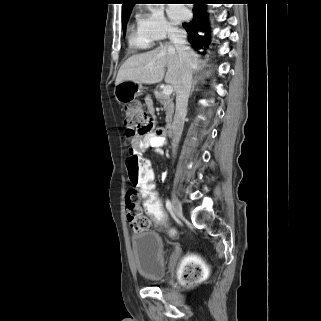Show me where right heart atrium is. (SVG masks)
Returning a JSON list of instances; mask_svg holds the SVG:
<instances>
[{
	"label": "right heart atrium",
	"mask_w": 321,
	"mask_h": 321,
	"mask_svg": "<svg viewBox=\"0 0 321 321\" xmlns=\"http://www.w3.org/2000/svg\"><path fill=\"white\" fill-rule=\"evenodd\" d=\"M138 28L154 41L163 40L176 33V28L155 7L143 9L137 17Z\"/></svg>",
	"instance_id": "obj_1"
}]
</instances>
